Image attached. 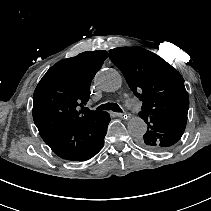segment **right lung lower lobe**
I'll list each match as a JSON object with an SVG mask.
<instances>
[{"instance_id": "1", "label": "right lung lower lobe", "mask_w": 211, "mask_h": 211, "mask_svg": "<svg viewBox=\"0 0 211 211\" xmlns=\"http://www.w3.org/2000/svg\"><path fill=\"white\" fill-rule=\"evenodd\" d=\"M110 120L109 114L102 111L84 123L58 130L42 139L60 158L85 161L103 147Z\"/></svg>"}]
</instances>
